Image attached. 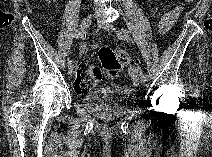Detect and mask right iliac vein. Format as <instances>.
<instances>
[{
	"mask_svg": "<svg viewBox=\"0 0 212 157\" xmlns=\"http://www.w3.org/2000/svg\"><path fill=\"white\" fill-rule=\"evenodd\" d=\"M92 23V17L89 15L87 17H85L81 24H80V27H79V30L78 32H80L81 34H83V32L88 28L90 27ZM75 72V66L72 64L71 66L68 67V73L69 75H73Z\"/></svg>",
	"mask_w": 212,
	"mask_h": 157,
	"instance_id": "obj_1",
	"label": "right iliac vein"
}]
</instances>
